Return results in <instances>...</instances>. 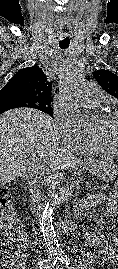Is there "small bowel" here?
Returning <instances> with one entry per match:
<instances>
[{"label": "small bowel", "mask_w": 118, "mask_h": 269, "mask_svg": "<svg viewBox=\"0 0 118 269\" xmlns=\"http://www.w3.org/2000/svg\"><path fill=\"white\" fill-rule=\"evenodd\" d=\"M115 197L116 196H112L107 199V216L109 217L118 216V203ZM112 241L118 246V232L113 235ZM84 242L89 247L101 248L103 260L106 264H114L118 266V252L105 245L101 234L88 233L84 238ZM91 263L92 262L90 261L87 264L90 265ZM18 269H28V267L26 265H21Z\"/></svg>", "instance_id": "obj_1"}]
</instances>
